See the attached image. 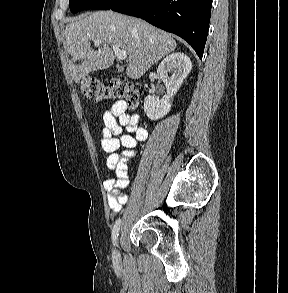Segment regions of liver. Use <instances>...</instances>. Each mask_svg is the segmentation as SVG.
Returning <instances> with one entry per match:
<instances>
[{"label": "liver", "instance_id": "liver-1", "mask_svg": "<svg viewBox=\"0 0 288 293\" xmlns=\"http://www.w3.org/2000/svg\"><path fill=\"white\" fill-rule=\"evenodd\" d=\"M65 38L64 46L71 56V76L76 83L91 72L113 65L112 45L126 51V75L131 79L142 77L177 46L171 35L146 21L113 11H97L72 19L66 26ZM93 40H101L97 50L91 48Z\"/></svg>", "mask_w": 288, "mask_h": 293}]
</instances>
